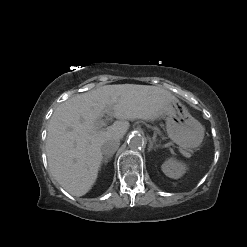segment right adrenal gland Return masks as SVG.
<instances>
[{
    "label": "right adrenal gland",
    "instance_id": "1",
    "mask_svg": "<svg viewBox=\"0 0 247 247\" xmlns=\"http://www.w3.org/2000/svg\"><path fill=\"white\" fill-rule=\"evenodd\" d=\"M113 155L110 156H105L102 160V163L107 164L109 162V160L112 158Z\"/></svg>",
    "mask_w": 247,
    "mask_h": 247
}]
</instances>
